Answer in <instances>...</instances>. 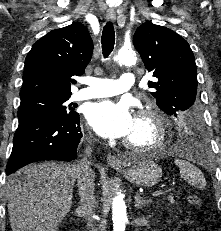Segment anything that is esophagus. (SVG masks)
<instances>
[{
    "instance_id": "34e87169",
    "label": "esophagus",
    "mask_w": 221,
    "mask_h": 231,
    "mask_svg": "<svg viewBox=\"0 0 221 231\" xmlns=\"http://www.w3.org/2000/svg\"><path fill=\"white\" fill-rule=\"evenodd\" d=\"M106 18H107V20L115 21L116 15L114 12L108 11L106 14ZM106 159H107L108 164L112 167H120L121 166L120 160L115 155H113L111 153L107 155Z\"/></svg>"
}]
</instances>
